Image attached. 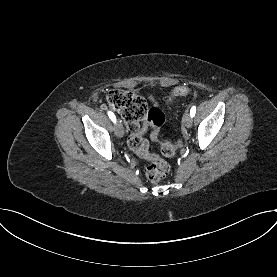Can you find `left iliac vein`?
<instances>
[{
    "label": "left iliac vein",
    "instance_id": "left-iliac-vein-1",
    "mask_svg": "<svg viewBox=\"0 0 277 277\" xmlns=\"http://www.w3.org/2000/svg\"><path fill=\"white\" fill-rule=\"evenodd\" d=\"M182 122L186 128H190L192 126L193 119L188 112H185Z\"/></svg>",
    "mask_w": 277,
    "mask_h": 277
}]
</instances>
